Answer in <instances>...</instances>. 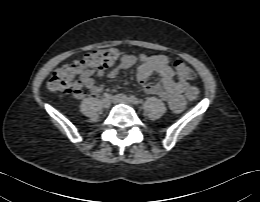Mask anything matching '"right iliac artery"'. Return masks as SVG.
<instances>
[{"label": "right iliac artery", "mask_w": 260, "mask_h": 202, "mask_svg": "<svg viewBox=\"0 0 260 202\" xmlns=\"http://www.w3.org/2000/svg\"><path fill=\"white\" fill-rule=\"evenodd\" d=\"M104 97L110 99L112 96H111V94H109V93H105V94H104Z\"/></svg>", "instance_id": "82829eb1"}]
</instances>
